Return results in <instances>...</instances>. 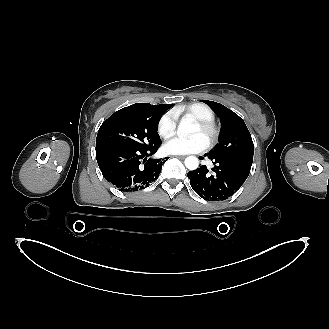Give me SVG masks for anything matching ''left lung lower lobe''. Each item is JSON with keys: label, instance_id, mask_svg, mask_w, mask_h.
Wrapping results in <instances>:
<instances>
[{"label": "left lung lower lobe", "instance_id": "obj_1", "mask_svg": "<svg viewBox=\"0 0 329 329\" xmlns=\"http://www.w3.org/2000/svg\"><path fill=\"white\" fill-rule=\"evenodd\" d=\"M209 156L214 163L213 175L206 166L188 172L190 185L202 198L223 201L232 196L247 179L252 164L237 159ZM203 159V157H200Z\"/></svg>", "mask_w": 329, "mask_h": 329}]
</instances>
